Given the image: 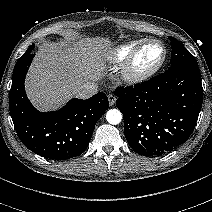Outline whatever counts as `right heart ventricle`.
Listing matches in <instances>:
<instances>
[{"instance_id": "e07e8e85", "label": "right heart ventricle", "mask_w": 212, "mask_h": 212, "mask_svg": "<svg viewBox=\"0 0 212 212\" xmlns=\"http://www.w3.org/2000/svg\"><path fill=\"white\" fill-rule=\"evenodd\" d=\"M140 42H132L124 45L118 46L116 49H114L110 56L109 60L113 64H118L121 63L130 56L132 51L135 49V47L139 44Z\"/></svg>"}]
</instances>
